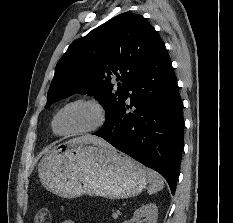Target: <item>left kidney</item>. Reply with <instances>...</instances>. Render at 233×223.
Listing matches in <instances>:
<instances>
[{
  "instance_id": "obj_1",
  "label": "left kidney",
  "mask_w": 233,
  "mask_h": 223,
  "mask_svg": "<svg viewBox=\"0 0 233 223\" xmlns=\"http://www.w3.org/2000/svg\"><path fill=\"white\" fill-rule=\"evenodd\" d=\"M141 217H145L146 223H157L158 207L156 203H146L134 211L132 219H126L123 223H141Z\"/></svg>"
}]
</instances>
